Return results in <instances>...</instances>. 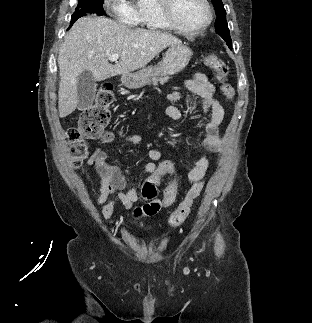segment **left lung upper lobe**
Instances as JSON below:
<instances>
[{"mask_svg":"<svg viewBox=\"0 0 312 323\" xmlns=\"http://www.w3.org/2000/svg\"><path fill=\"white\" fill-rule=\"evenodd\" d=\"M214 4L217 20L215 22L216 32L227 42L229 48H232V40L229 34V29L226 21V11L222 0H211Z\"/></svg>","mask_w":312,"mask_h":323,"instance_id":"5c2ea615","label":"left lung upper lobe"}]
</instances>
